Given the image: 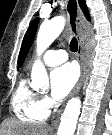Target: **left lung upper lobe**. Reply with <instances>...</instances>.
Here are the masks:
<instances>
[{
    "mask_svg": "<svg viewBox=\"0 0 112 135\" xmlns=\"http://www.w3.org/2000/svg\"><path fill=\"white\" fill-rule=\"evenodd\" d=\"M38 21H39V19L37 18L31 22V24H30V26H29V28L24 36L21 50H20L19 57H18L19 67L22 66L24 58H25L29 48L31 47L32 41H33L34 36H35V31L37 28Z\"/></svg>",
    "mask_w": 112,
    "mask_h": 135,
    "instance_id": "1",
    "label": "left lung upper lobe"
}]
</instances>
